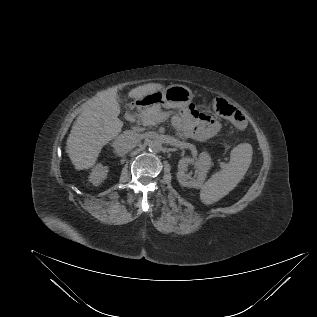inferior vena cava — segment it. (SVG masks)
<instances>
[{
	"label": "inferior vena cava",
	"mask_w": 317,
	"mask_h": 317,
	"mask_svg": "<svg viewBox=\"0 0 317 317\" xmlns=\"http://www.w3.org/2000/svg\"><path fill=\"white\" fill-rule=\"evenodd\" d=\"M138 143V136L137 134L126 131L123 134H120L114 141H113V148L115 151L120 155H124L132 150L136 144Z\"/></svg>",
	"instance_id": "obj_1"
}]
</instances>
